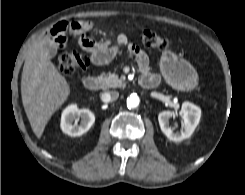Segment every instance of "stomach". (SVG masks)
Returning <instances> with one entry per match:
<instances>
[{"instance_id": "stomach-1", "label": "stomach", "mask_w": 245, "mask_h": 195, "mask_svg": "<svg viewBox=\"0 0 245 195\" xmlns=\"http://www.w3.org/2000/svg\"><path fill=\"white\" fill-rule=\"evenodd\" d=\"M161 71L167 82L178 90H191L197 85L194 69L170 51H165L162 55Z\"/></svg>"}]
</instances>
